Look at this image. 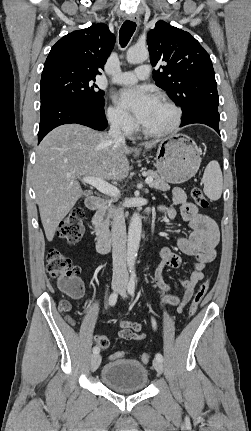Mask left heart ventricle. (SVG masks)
Segmentation results:
<instances>
[{
	"mask_svg": "<svg viewBox=\"0 0 251 431\" xmlns=\"http://www.w3.org/2000/svg\"><path fill=\"white\" fill-rule=\"evenodd\" d=\"M172 119V110L167 105L157 100L142 125L148 130L159 131L168 127Z\"/></svg>",
	"mask_w": 251,
	"mask_h": 431,
	"instance_id": "left-heart-ventricle-1",
	"label": "left heart ventricle"
}]
</instances>
